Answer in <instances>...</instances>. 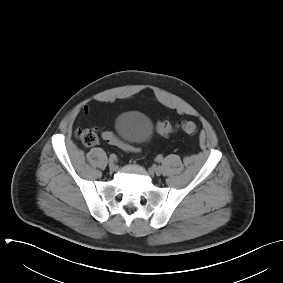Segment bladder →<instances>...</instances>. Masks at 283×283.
Returning <instances> with one entry per match:
<instances>
[{
  "mask_svg": "<svg viewBox=\"0 0 283 283\" xmlns=\"http://www.w3.org/2000/svg\"><path fill=\"white\" fill-rule=\"evenodd\" d=\"M115 130L124 142L139 145L147 142L153 133L150 119L138 111H127L117 116Z\"/></svg>",
  "mask_w": 283,
  "mask_h": 283,
  "instance_id": "bladder-1",
  "label": "bladder"
}]
</instances>
